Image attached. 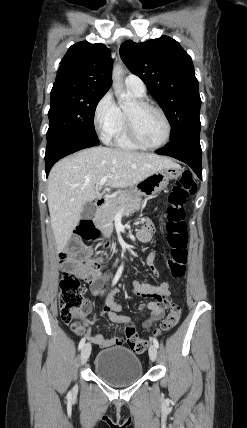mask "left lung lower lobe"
<instances>
[{
    "label": "left lung lower lobe",
    "mask_w": 247,
    "mask_h": 428,
    "mask_svg": "<svg viewBox=\"0 0 247 428\" xmlns=\"http://www.w3.org/2000/svg\"><path fill=\"white\" fill-rule=\"evenodd\" d=\"M200 135H192L177 142H171L165 148L159 149L158 154L174 157L189 165L202 180Z\"/></svg>",
    "instance_id": "left-lung-lower-lobe-1"
}]
</instances>
